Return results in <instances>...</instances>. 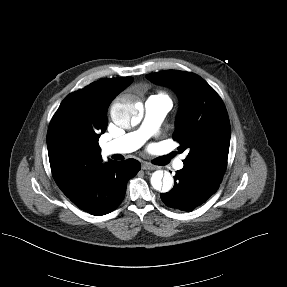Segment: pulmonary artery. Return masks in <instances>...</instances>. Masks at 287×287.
Listing matches in <instances>:
<instances>
[{"instance_id": "e3ab8cb5", "label": "pulmonary artery", "mask_w": 287, "mask_h": 287, "mask_svg": "<svg viewBox=\"0 0 287 287\" xmlns=\"http://www.w3.org/2000/svg\"><path fill=\"white\" fill-rule=\"evenodd\" d=\"M172 108V101L167 96L153 95L145 102V116L141 126L132 132L126 133L107 142L103 146L106 155L114 153H129L140 148L153 134L156 133L166 114ZM183 161L176 162V169H182Z\"/></svg>"}]
</instances>
